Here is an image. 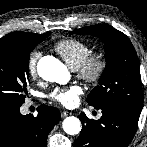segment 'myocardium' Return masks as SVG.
<instances>
[{
  "label": "myocardium",
  "mask_w": 147,
  "mask_h": 147,
  "mask_svg": "<svg viewBox=\"0 0 147 147\" xmlns=\"http://www.w3.org/2000/svg\"><path fill=\"white\" fill-rule=\"evenodd\" d=\"M106 67L105 54L102 51H91L76 71L79 78L89 83H97L103 77Z\"/></svg>",
  "instance_id": "f54148a6"
}]
</instances>
